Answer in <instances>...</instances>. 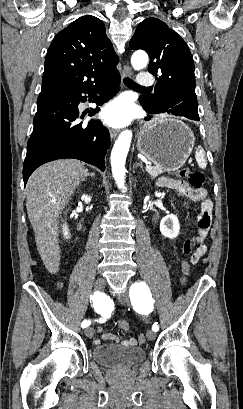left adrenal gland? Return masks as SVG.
Segmentation results:
<instances>
[{
  "label": "left adrenal gland",
  "mask_w": 243,
  "mask_h": 409,
  "mask_svg": "<svg viewBox=\"0 0 243 409\" xmlns=\"http://www.w3.org/2000/svg\"><path fill=\"white\" fill-rule=\"evenodd\" d=\"M134 167H135V168L140 167V168L143 170L142 162L136 163V164L134 165Z\"/></svg>",
  "instance_id": "a2214340"
}]
</instances>
